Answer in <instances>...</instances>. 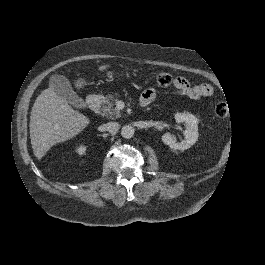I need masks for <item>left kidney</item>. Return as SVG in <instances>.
<instances>
[{"mask_svg":"<svg viewBox=\"0 0 265 265\" xmlns=\"http://www.w3.org/2000/svg\"><path fill=\"white\" fill-rule=\"evenodd\" d=\"M174 119L177 125H185V140L182 142H175L172 134L165 132L161 136L162 142L168 145L172 151L186 150L196 144L198 141V119L190 114L182 113L175 114Z\"/></svg>","mask_w":265,"mask_h":265,"instance_id":"1","label":"left kidney"}]
</instances>
